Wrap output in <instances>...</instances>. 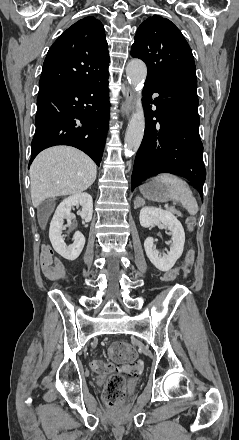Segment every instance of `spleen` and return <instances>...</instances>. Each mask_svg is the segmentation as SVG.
Here are the masks:
<instances>
[{
  "label": "spleen",
  "instance_id": "1",
  "mask_svg": "<svg viewBox=\"0 0 239 440\" xmlns=\"http://www.w3.org/2000/svg\"><path fill=\"white\" fill-rule=\"evenodd\" d=\"M157 178L159 182H163V184L169 186L172 200L180 202L191 216L197 214L198 204L186 182H183V180H180L177 176H172V174H159Z\"/></svg>",
  "mask_w": 239,
  "mask_h": 440
}]
</instances>
